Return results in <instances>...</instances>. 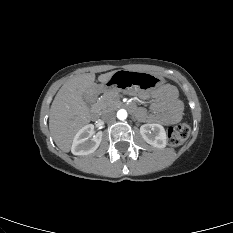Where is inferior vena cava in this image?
<instances>
[{"label":"inferior vena cava","instance_id":"obj_1","mask_svg":"<svg viewBox=\"0 0 233 233\" xmlns=\"http://www.w3.org/2000/svg\"><path fill=\"white\" fill-rule=\"evenodd\" d=\"M102 119L106 122H112L115 120V113L114 111L107 110L102 114Z\"/></svg>","mask_w":233,"mask_h":233}]
</instances>
